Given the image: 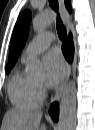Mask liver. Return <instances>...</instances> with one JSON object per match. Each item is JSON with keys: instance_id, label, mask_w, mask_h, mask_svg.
<instances>
[{"instance_id": "1", "label": "liver", "mask_w": 95, "mask_h": 130, "mask_svg": "<svg viewBox=\"0 0 95 130\" xmlns=\"http://www.w3.org/2000/svg\"><path fill=\"white\" fill-rule=\"evenodd\" d=\"M41 118L42 112L38 110H8L1 130H46L45 124L40 126Z\"/></svg>"}]
</instances>
